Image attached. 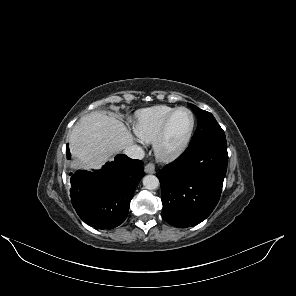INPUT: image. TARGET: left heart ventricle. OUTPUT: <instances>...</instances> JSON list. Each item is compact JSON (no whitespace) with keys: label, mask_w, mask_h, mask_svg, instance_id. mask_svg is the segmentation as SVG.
<instances>
[{"label":"left heart ventricle","mask_w":296,"mask_h":296,"mask_svg":"<svg viewBox=\"0 0 296 296\" xmlns=\"http://www.w3.org/2000/svg\"><path fill=\"white\" fill-rule=\"evenodd\" d=\"M192 123L189 112L179 111L173 118L167 132L165 148L172 149L178 146L187 135Z\"/></svg>","instance_id":"b2bd125f"}]
</instances>
